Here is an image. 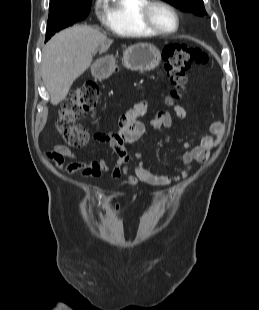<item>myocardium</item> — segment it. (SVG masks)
<instances>
[{
  "instance_id": "1",
  "label": "myocardium",
  "mask_w": 259,
  "mask_h": 310,
  "mask_svg": "<svg viewBox=\"0 0 259 310\" xmlns=\"http://www.w3.org/2000/svg\"><path fill=\"white\" fill-rule=\"evenodd\" d=\"M156 6L164 7L166 9H168L174 15V18L176 21V25H175L174 29L164 30V29H161L160 27H158L153 22V20L151 18V11ZM140 19H141L142 24L147 29H149L150 31L155 33L156 35H170V34L177 32L179 27H180V16H179L177 9L175 7H173L171 4H169L165 1H162V0H149L141 9Z\"/></svg>"
}]
</instances>
